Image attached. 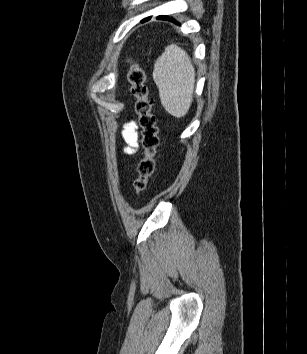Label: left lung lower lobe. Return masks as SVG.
<instances>
[{
  "label": "left lung lower lobe",
  "mask_w": 307,
  "mask_h": 354,
  "mask_svg": "<svg viewBox=\"0 0 307 354\" xmlns=\"http://www.w3.org/2000/svg\"><path fill=\"white\" fill-rule=\"evenodd\" d=\"M158 19H163V20H170V21H173V22H176L173 18H168L167 16H159L157 17ZM149 18H146L144 19L142 22L148 20Z\"/></svg>",
  "instance_id": "1"
}]
</instances>
